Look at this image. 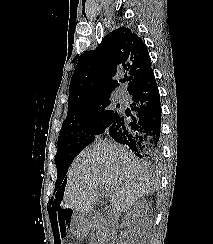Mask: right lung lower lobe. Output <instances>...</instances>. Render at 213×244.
<instances>
[{
    "instance_id": "1",
    "label": "right lung lower lobe",
    "mask_w": 213,
    "mask_h": 244,
    "mask_svg": "<svg viewBox=\"0 0 213 244\" xmlns=\"http://www.w3.org/2000/svg\"><path fill=\"white\" fill-rule=\"evenodd\" d=\"M130 95L133 97L130 106L134 114H118L105 132L139 158L155 161L161 150V105L153 70Z\"/></svg>"
}]
</instances>
